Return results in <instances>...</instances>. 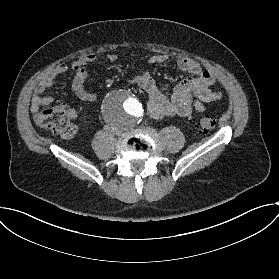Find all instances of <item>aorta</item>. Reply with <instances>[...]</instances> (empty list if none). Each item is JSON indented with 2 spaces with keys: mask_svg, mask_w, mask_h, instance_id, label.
Here are the masks:
<instances>
[{
  "mask_svg": "<svg viewBox=\"0 0 279 279\" xmlns=\"http://www.w3.org/2000/svg\"><path fill=\"white\" fill-rule=\"evenodd\" d=\"M144 110L140 100L127 90L110 93L103 104V114L109 126L122 131L137 125Z\"/></svg>",
  "mask_w": 279,
  "mask_h": 279,
  "instance_id": "aorta-1",
  "label": "aorta"
}]
</instances>
